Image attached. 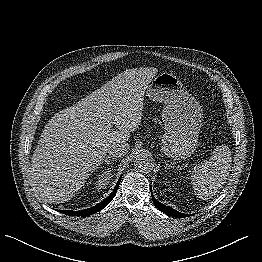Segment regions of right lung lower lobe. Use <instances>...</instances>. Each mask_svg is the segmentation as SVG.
Listing matches in <instances>:
<instances>
[{"instance_id": "1", "label": "right lung lower lobe", "mask_w": 262, "mask_h": 262, "mask_svg": "<svg viewBox=\"0 0 262 262\" xmlns=\"http://www.w3.org/2000/svg\"><path fill=\"white\" fill-rule=\"evenodd\" d=\"M119 184H120V179L118 180V182H117L114 190L111 192V194L105 200H103L102 202H100L99 204H97V205H95L91 208L84 209L82 211H72V210L71 211L70 210H58V211L63 213V214H66V215L82 216V217L97 213L100 210H102L104 207H106L111 202V200L114 198V196L116 194V191L119 187Z\"/></svg>"}]
</instances>
